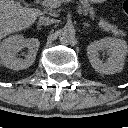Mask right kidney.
Here are the masks:
<instances>
[{
    "instance_id": "1",
    "label": "right kidney",
    "mask_w": 128,
    "mask_h": 128,
    "mask_svg": "<svg viewBox=\"0 0 128 128\" xmlns=\"http://www.w3.org/2000/svg\"><path fill=\"white\" fill-rule=\"evenodd\" d=\"M39 46L36 38H24L20 34L9 36L0 43V63L13 70L26 69L34 63ZM23 48H28L24 59L17 57Z\"/></svg>"
}]
</instances>
